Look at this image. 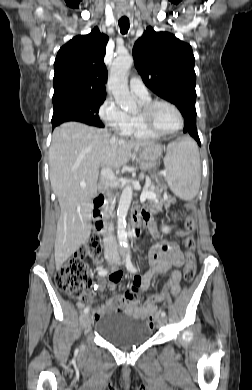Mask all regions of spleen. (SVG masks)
Here are the masks:
<instances>
[{
	"instance_id": "obj_1",
	"label": "spleen",
	"mask_w": 252,
	"mask_h": 390,
	"mask_svg": "<svg viewBox=\"0 0 252 390\" xmlns=\"http://www.w3.org/2000/svg\"><path fill=\"white\" fill-rule=\"evenodd\" d=\"M164 164L171 191L183 200L195 198L201 179L199 151L195 142L184 137L170 143Z\"/></svg>"
}]
</instances>
